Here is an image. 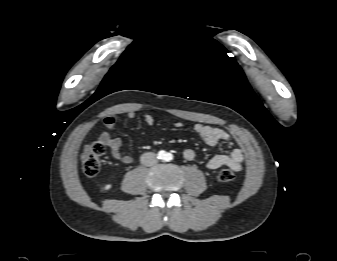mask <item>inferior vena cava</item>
I'll list each match as a JSON object with an SVG mask.
<instances>
[{"label": "inferior vena cava", "mask_w": 337, "mask_h": 261, "mask_svg": "<svg viewBox=\"0 0 337 261\" xmlns=\"http://www.w3.org/2000/svg\"><path fill=\"white\" fill-rule=\"evenodd\" d=\"M140 161L144 166H152L157 163V157L153 152H146L141 155Z\"/></svg>", "instance_id": "602c4592"}]
</instances>
